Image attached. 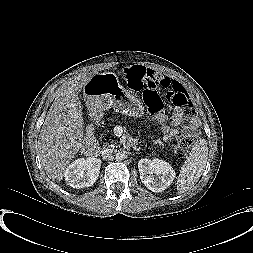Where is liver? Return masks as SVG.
Instances as JSON below:
<instances>
[{
  "mask_svg": "<svg viewBox=\"0 0 253 253\" xmlns=\"http://www.w3.org/2000/svg\"><path fill=\"white\" fill-rule=\"evenodd\" d=\"M97 73L78 75L60 86L39 134L38 148L46 174L61 181L85 138L79 92Z\"/></svg>",
  "mask_w": 253,
  "mask_h": 253,
  "instance_id": "liver-1",
  "label": "liver"
}]
</instances>
